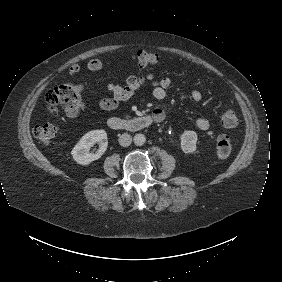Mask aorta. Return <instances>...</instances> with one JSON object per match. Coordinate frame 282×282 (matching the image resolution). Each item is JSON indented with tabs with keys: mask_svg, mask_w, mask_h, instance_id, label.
Instances as JSON below:
<instances>
[{
	"mask_svg": "<svg viewBox=\"0 0 282 282\" xmlns=\"http://www.w3.org/2000/svg\"><path fill=\"white\" fill-rule=\"evenodd\" d=\"M133 141L136 146H142L146 142V137L144 134L137 133L134 135Z\"/></svg>",
	"mask_w": 282,
	"mask_h": 282,
	"instance_id": "1",
	"label": "aorta"
}]
</instances>
